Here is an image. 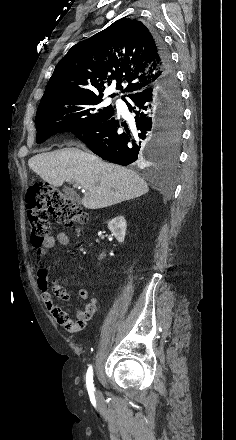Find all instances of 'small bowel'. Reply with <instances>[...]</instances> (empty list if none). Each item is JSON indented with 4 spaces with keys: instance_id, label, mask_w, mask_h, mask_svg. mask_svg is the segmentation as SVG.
<instances>
[{
    "instance_id": "c3829d8e",
    "label": "small bowel",
    "mask_w": 236,
    "mask_h": 440,
    "mask_svg": "<svg viewBox=\"0 0 236 440\" xmlns=\"http://www.w3.org/2000/svg\"><path fill=\"white\" fill-rule=\"evenodd\" d=\"M56 242L61 246H67L70 242V237L65 232H60L56 237L48 236L43 243L36 248L35 257L39 260L42 256L52 249ZM37 284L41 291V299L51 316L60 324L61 320L70 318L69 315L63 311L54 301V296L68 301L70 299L69 293L57 281H54L52 286L48 283L47 273L43 269L37 271ZM79 297L85 302V307L76 314L74 321H62V330H69L71 332H79L86 327L85 322L88 321L96 311L97 299L90 297L89 290L86 288L80 289Z\"/></svg>"
}]
</instances>
